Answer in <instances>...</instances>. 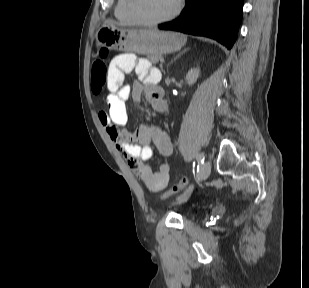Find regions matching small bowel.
Returning <instances> with one entry per match:
<instances>
[{"label": "small bowel", "instance_id": "obj_1", "mask_svg": "<svg viewBox=\"0 0 309 288\" xmlns=\"http://www.w3.org/2000/svg\"><path fill=\"white\" fill-rule=\"evenodd\" d=\"M135 72L139 81L133 86L125 83L126 75ZM158 72L147 59L137 58L132 53L117 55L109 65L107 112H100L99 119L116 149L126 159L130 168L151 192L164 189L169 181L171 165L161 162L154 170L147 161L153 156L151 144L162 157H169L173 144L169 135L159 126L151 123L141 124L134 131H127L126 102L132 98L140 102L142 95L157 113H165L167 104L163 90L158 85Z\"/></svg>", "mask_w": 309, "mask_h": 288}]
</instances>
